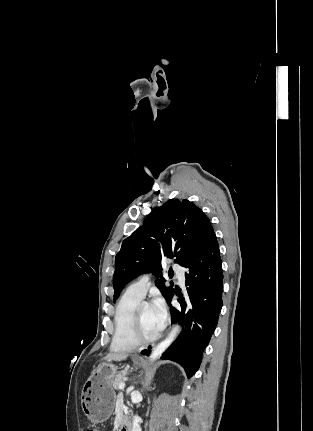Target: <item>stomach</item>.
<instances>
[{
    "label": "stomach",
    "mask_w": 313,
    "mask_h": 431,
    "mask_svg": "<svg viewBox=\"0 0 313 431\" xmlns=\"http://www.w3.org/2000/svg\"><path fill=\"white\" fill-rule=\"evenodd\" d=\"M135 366L142 361L133 360ZM119 374L118 368L111 362L99 365L82 388L81 405L84 414L92 423H102L112 414L115 391L112 380Z\"/></svg>",
    "instance_id": "1"
}]
</instances>
